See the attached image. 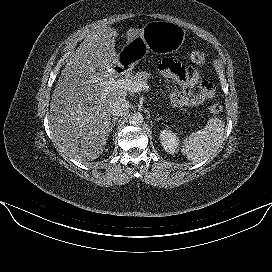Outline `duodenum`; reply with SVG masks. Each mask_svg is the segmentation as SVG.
<instances>
[{"instance_id":"1","label":"duodenum","mask_w":272,"mask_h":272,"mask_svg":"<svg viewBox=\"0 0 272 272\" xmlns=\"http://www.w3.org/2000/svg\"><path fill=\"white\" fill-rule=\"evenodd\" d=\"M130 69L125 65H119L115 68L114 72L116 77H124L129 73Z\"/></svg>"}]
</instances>
